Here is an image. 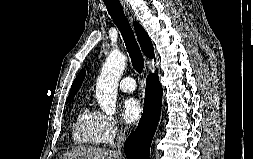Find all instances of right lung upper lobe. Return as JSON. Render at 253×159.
<instances>
[{
    "instance_id": "obj_1",
    "label": "right lung upper lobe",
    "mask_w": 253,
    "mask_h": 159,
    "mask_svg": "<svg viewBox=\"0 0 253 159\" xmlns=\"http://www.w3.org/2000/svg\"><path fill=\"white\" fill-rule=\"evenodd\" d=\"M133 26L143 53L149 58H154V49L148 34L138 22H133ZM84 78L85 70L82 69L71 86L67 100H71L76 95Z\"/></svg>"
}]
</instances>
